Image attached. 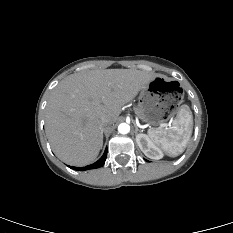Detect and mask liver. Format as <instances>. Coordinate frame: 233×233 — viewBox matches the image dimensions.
<instances>
[{"mask_svg":"<svg viewBox=\"0 0 233 233\" xmlns=\"http://www.w3.org/2000/svg\"><path fill=\"white\" fill-rule=\"evenodd\" d=\"M155 77L135 69H106L72 74L53 90L45 115L46 133L54 153L73 166H85L103 144L102 117L114 124L122 106Z\"/></svg>","mask_w":233,"mask_h":233,"instance_id":"1","label":"liver"}]
</instances>
